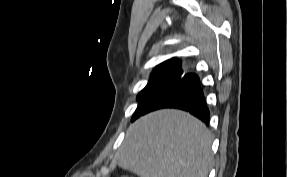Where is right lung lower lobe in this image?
<instances>
[{"instance_id":"98d812e1","label":"right lung lower lobe","mask_w":287,"mask_h":177,"mask_svg":"<svg viewBox=\"0 0 287 177\" xmlns=\"http://www.w3.org/2000/svg\"><path fill=\"white\" fill-rule=\"evenodd\" d=\"M161 108L182 109L209 124L210 112L199 77L181 67L161 77L145 92L132 121Z\"/></svg>"}]
</instances>
